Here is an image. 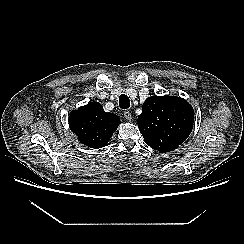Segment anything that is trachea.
I'll return each mask as SVG.
<instances>
[{
  "label": "trachea",
  "mask_w": 244,
  "mask_h": 244,
  "mask_svg": "<svg viewBox=\"0 0 244 244\" xmlns=\"http://www.w3.org/2000/svg\"><path fill=\"white\" fill-rule=\"evenodd\" d=\"M119 106L122 109H128L130 107V100L127 95H125V94L120 95Z\"/></svg>",
  "instance_id": "trachea-1"
}]
</instances>
